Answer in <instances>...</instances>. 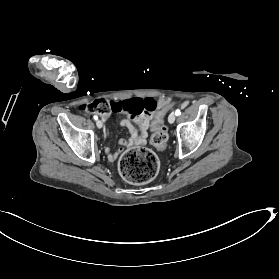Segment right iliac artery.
Masks as SVG:
<instances>
[{"instance_id": "82829eb1", "label": "right iliac artery", "mask_w": 279, "mask_h": 279, "mask_svg": "<svg viewBox=\"0 0 279 279\" xmlns=\"http://www.w3.org/2000/svg\"><path fill=\"white\" fill-rule=\"evenodd\" d=\"M93 118H94V120H97L98 119V117L95 115V116H93Z\"/></svg>"}]
</instances>
